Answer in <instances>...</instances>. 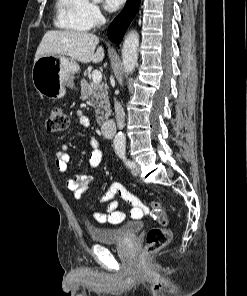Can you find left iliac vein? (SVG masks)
<instances>
[{
	"label": "left iliac vein",
	"instance_id": "left-iliac-vein-1",
	"mask_svg": "<svg viewBox=\"0 0 247 296\" xmlns=\"http://www.w3.org/2000/svg\"><path fill=\"white\" fill-rule=\"evenodd\" d=\"M131 172H132L133 175L138 176L139 175V172H140V169L136 165L135 167L132 168Z\"/></svg>",
	"mask_w": 247,
	"mask_h": 296
}]
</instances>
